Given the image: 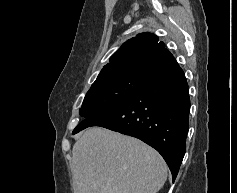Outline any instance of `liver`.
Listing matches in <instances>:
<instances>
[{"mask_svg":"<svg viewBox=\"0 0 237 193\" xmlns=\"http://www.w3.org/2000/svg\"><path fill=\"white\" fill-rule=\"evenodd\" d=\"M74 193H157L167 179L160 154L141 140L93 127L72 150Z\"/></svg>","mask_w":237,"mask_h":193,"instance_id":"1","label":"liver"}]
</instances>
